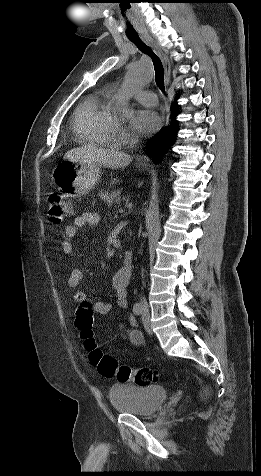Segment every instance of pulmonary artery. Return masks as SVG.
Segmentation results:
<instances>
[{
  "instance_id": "e3ab8cb5",
  "label": "pulmonary artery",
  "mask_w": 261,
  "mask_h": 476,
  "mask_svg": "<svg viewBox=\"0 0 261 476\" xmlns=\"http://www.w3.org/2000/svg\"><path fill=\"white\" fill-rule=\"evenodd\" d=\"M133 97L146 106H156L158 103L156 94L150 90H139L134 93Z\"/></svg>"
}]
</instances>
